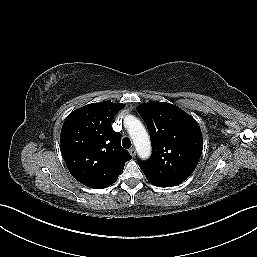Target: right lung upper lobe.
<instances>
[{"instance_id": "cb5924a9", "label": "right lung upper lobe", "mask_w": 257, "mask_h": 257, "mask_svg": "<svg viewBox=\"0 0 257 257\" xmlns=\"http://www.w3.org/2000/svg\"><path fill=\"white\" fill-rule=\"evenodd\" d=\"M124 104L104 101L83 106L68 115L62 126L60 148L72 176L90 188H106L132 157L121 147L111 122Z\"/></svg>"}]
</instances>
